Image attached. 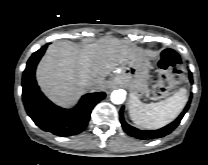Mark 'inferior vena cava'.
I'll return each instance as SVG.
<instances>
[{"instance_id": "1", "label": "inferior vena cava", "mask_w": 208, "mask_h": 165, "mask_svg": "<svg viewBox=\"0 0 208 165\" xmlns=\"http://www.w3.org/2000/svg\"><path fill=\"white\" fill-rule=\"evenodd\" d=\"M88 89L89 90H94V89H97V86L94 83H90V84H88Z\"/></svg>"}]
</instances>
